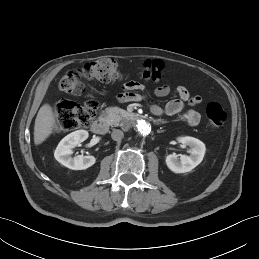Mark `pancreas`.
<instances>
[{"instance_id":"cf45deb5","label":"pancreas","mask_w":259,"mask_h":259,"mask_svg":"<svg viewBox=\"0 0 259 259\" xmlns=\"http://www.w3.org/2000/svg\"><path fill=\"white\" fill-rule=\"evenodd\" d=\"M103 116L111 126L126 128L132 114L118 107H108L103 112Z\"/></svg>"}]
</instances>
